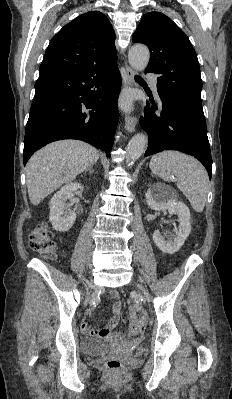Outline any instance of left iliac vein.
Returning a JSON list of instances; mask_svg holds the SVG:
<instances>
[{"instance_id":"1","label":"left iliac vein","mask_w":232,"mask_h":399,"mask_svg":"<svg viewBox=\"0 0 232 399\" xmlns=\"http://www.w3.org/2000/svg\"><path fill=\"white\" fill-rule=\"evenodd\" d=\"M134 288H137V285H134ZM139 289L141 290L142 293H144L146 299L150 298V295H149V292H148L147 288H144L143 285H140Z\"/></svg>"}]
</instances>
